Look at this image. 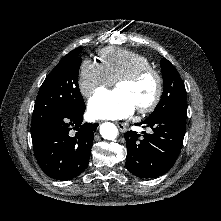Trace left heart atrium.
<instances>
[{
  "label": "left heart atrium",
  "instance_id": "obj_1",
  "mask_svg": "<svg viewBox=\"0 0 221 221\" xmlns=\"http://www.w3.org/2000/svg\"><path fill=\"white\" fill-rule=\"evenodd\" d=\"M135 110L130 97L119 89L100 90L88 102V112L95 119H121Z\"/></svg>",
  "mask_w": 221,
  "mask_h": 221
}]
</instances>
